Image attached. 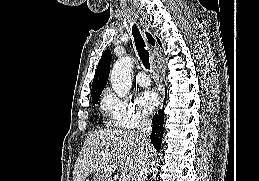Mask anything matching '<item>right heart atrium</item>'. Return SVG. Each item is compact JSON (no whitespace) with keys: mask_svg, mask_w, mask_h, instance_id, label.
Wrapping results in <instances>:
<instances>
[{"mask_svg":"<svg viewBox=\"0 0 259 181\" xmlns=\"http://www.w3.org/2000/svg\"><path fill=\"white\" fill-rule=\"evenodd\" d=\"M101 107L105 122L110 127L135 129L148 122V116L129 97H121L112 91L103 94Z\"/></svg>","mask_w":259,"mask_h":181,"instance_id":"right-heart-atrium-1","label":"right heart atrium"}]
</instances>
